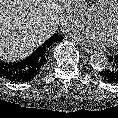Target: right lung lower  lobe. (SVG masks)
<instances>
[{"instance_id": "obj_1", "label": "right lung lower lobe", "mask_w": 118, "mask_h": 118, "mask_svg": "<svg viewBox=\"0 0 118 118\" xmlns=\"http://www.w3.org/2000/svg\"><path fill=\"white\" fill-rule=\"evenodd\" d=\"M56 41L63 39L62 36L56 35ZM41 61L43 64L41 65ZM46 62V56L44 60L38 59V57L30 55L25 60L18 63H5L0 62V75L10 81L25 82L34 78L42 69Z\"/></svg>"}]
</instances>
